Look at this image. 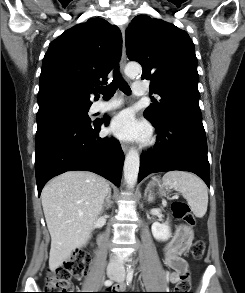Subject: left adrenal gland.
Instances as JSON below:
<instances>
[{
    "label": "left adrenal gland",
    "instance_id": "left-adrenal-gland-1",
    "mask_svg": "<svg viewBox=\"0 0 245 293\" xmlns=\"http://www.w3.org/2000/svg\"><path fill=\"white\" fill-rule=\"evenodd\" d=\"M149 184H148V186H147V188H146V190H145V193H144V196L146 197L147 196V192H148V190H149Z\"/></svg>",
    "mask_w": 245,
    "mask_h": 293
}]
</instances>
